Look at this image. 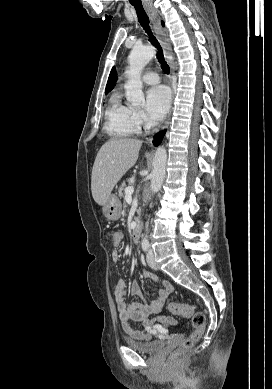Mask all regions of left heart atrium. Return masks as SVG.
Masks as SVG:
<instances>
[{
	"label": "left heart atrium",
	"mask_w": 272,
	"mask_h": 389,
	"mask_svg": "<svg viewBox=\"0 0 272 389\" xmlns=\"http://www.w3.org/2000/svg\"><path fill=\"white\" fill-rule=\"evenodd\" d=\"M170 106V93L165 86H155L146 92L145 109L150 120L159 121Z\"/></svg>",
	"instance_id": "1"
}]
</instances>
